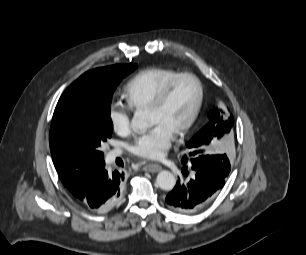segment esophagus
I'll return each mask as SVG.
<instances>
[{"label": "esophagus", "instance_id": "34e87169", "mask_svg": "<svg viewBox=\"0 0 306 255\" xmlns=\"http://www.w3.org/2000/svg\"><path fill=\"white\" fill-rule=\"evenodd\" d=\"M143 170L150 173H156L162 170V167L158 164H146L143 166Z\"/></svg>", "mask_w": 306, "mask_h": 255}]
</instances>
